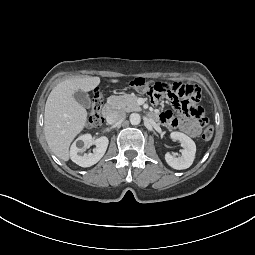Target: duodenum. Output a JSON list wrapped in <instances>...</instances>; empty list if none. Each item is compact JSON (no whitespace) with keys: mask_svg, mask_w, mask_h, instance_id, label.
Masks as SVG:
<instances>
[{"mask_svg":"<svg viewBox=\"0 0 255 255\" xmlns=\"http://www.w3.org/2000/svg\"><path fill=\"white\" fill-rule=\"evenodd\" d=\"M103 117L109 119L113 115V108L111 105H106L102 111Z\"/></svg>","mask_w":255,"mask_h":255,"instance_id":"410a0bca","label":"duodenum"}]
</instances>
